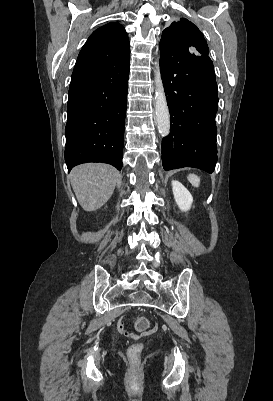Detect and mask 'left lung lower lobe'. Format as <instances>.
Wrapping results in <instances>:
<instances>
[{
	"label": "left lung lower lobe",
	"instance_id": "left-lung-lower-lobe-1",
	"mask_svg": "<svg viewBox=\"0 0 273 401\" xmlns=\"http://www.w3.org/2000/svg\"><path fill=\"white\" fill-rule=\"evenodd\" d=\"M160 68L170 111V134L162 140L168 171L195 167L212 173L217 161V84L208 55L160 45Z\"/></svg>",
	"mask_w": 273,
	"mask_h": 401
}]
</instances>
